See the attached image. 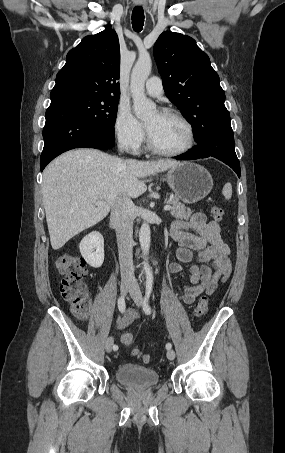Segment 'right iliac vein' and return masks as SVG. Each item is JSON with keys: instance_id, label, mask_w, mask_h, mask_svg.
<instances>
[{"instance_id": "right-iliac-vein-1", "label": "right iliac vein", "mask_w": 285, "mask_h": 453, "mask_svg": "<svg viewBox=\"0 0 285 453\" xmlns=\"http://www.w3.org/2000/svg\"><path fill=\"white\" fill-rule=\"evenodd\" d=\"M132 284L130 282L124 281L121 283L120 286V291L123 296H125L131 289H132ZM113 348V338L108 337L105 341V350L107 353H110Z\"/></svg>"}]
</instances>
